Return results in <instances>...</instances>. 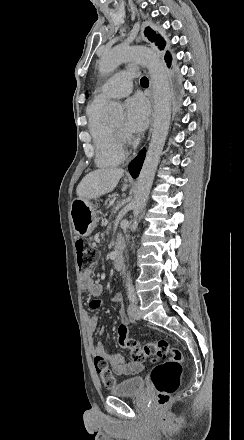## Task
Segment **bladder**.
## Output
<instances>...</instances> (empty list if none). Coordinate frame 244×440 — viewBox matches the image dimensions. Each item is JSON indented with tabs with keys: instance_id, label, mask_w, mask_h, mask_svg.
<instances>
[{
	"instance_id": "bladder-1",
	"label": "bladder",
	"mask_w": 244,
	"mask_h": 440,
	"mask_svg": "<svg viewBox=\"0 0 244 440\" xmlns=\"http://www.w3.org/2000/svg\"><path fill=\"white\" fill-rule=\"evenodd\" d=\"M145 389L143 377H132L119 381L118 384L110 389V394L115 395H138Z\"/></svg>"
}]
</instances>
